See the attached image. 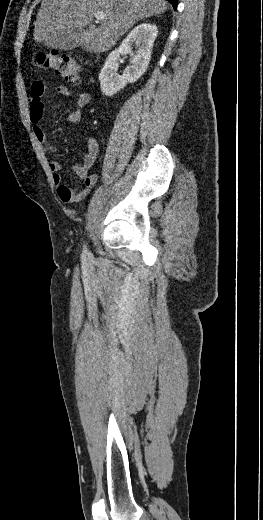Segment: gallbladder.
Instances as JSON below:
<instances>
[{"instance_id":"1","label":"gallbladder","mask_w":263,"mask_h":520,"mask_svg":"<svg viewBox=\"0 0 263 520\" xmlns=\"http://www.w3.org/2000/svg\"><path fill=\"white\" fill-rule=\"evenodd\" d=\"M84 34L83 29L75 28L71 33L63 34L57 32L50 35L48 42L49 48H57L61 50H73L79 46V41L82 39Z\"/></svg>"}]
</instances>
